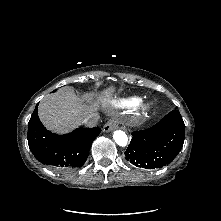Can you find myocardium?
Listing matches in <instances>:
<instances>
[{
    "instance_id": "obj_1",
    "label": "myocardium",
    "mask_w": 221,
    "mask_h": 221,
    "mask_svg": "<svg viewBox=\"0 0 221 221\" xmlns=\"http://www.w3.org/2000/svg\"><path fill=\"white\" fill-rule=\"evenodd\" d=\"M152 104L147 101L137 102L132 109V117L134 120H141L151 111Z\"/></svg>"
}]
</instances>
